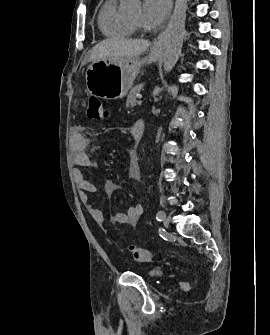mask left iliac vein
Masks as SVG:
<instances>
[{
    "label": "left iliac vein",
    "mask_w": 270,
    "mask_h": 335,
    "mask_svg": "<svg viewBox=\"0 0 270 335\" xmlns=\"http://www.w3.org/2000/svg\"><path fill=\"white\" fill-rule=\"evenodd\" d=\"M170 221H171V217L170 216H166L164 217V226L167 228L170 224Z\"/></svg>",
    "instance_id": "left-iliac-vein-1"
}]
</instances>
